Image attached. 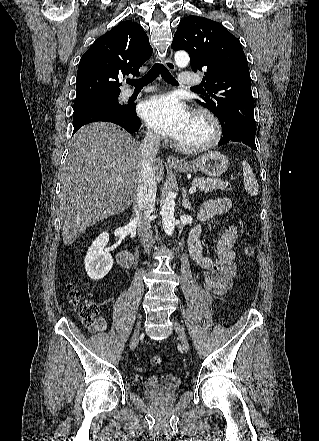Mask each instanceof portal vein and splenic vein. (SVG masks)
<instances>
[{
  "mask_svg": "<svg viewBox=\"0 0 319 441\" xmlns=\"http://www.w3.org/2000/svg\"><path fill=\"white\" fill-rule=\"evenodd\" d=\"M116 180H117L118 182H122V181H123L122 177H120V176H118V177L116 178ZM195 191H196V186H193V187H191V188L189 189V193H190V194H193Z\"/></svg>",
  "mask_w": 319,
  "mask_h": 441,
  "instance_id": "obj_1",
  "label": "portal vein and splenic vein"
}]
</instances>
